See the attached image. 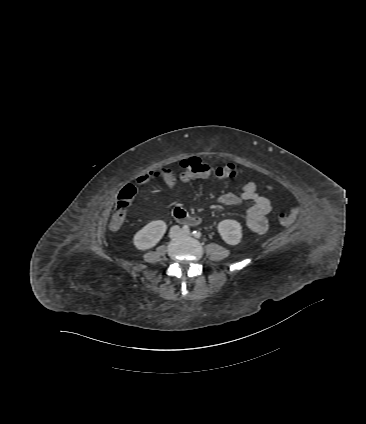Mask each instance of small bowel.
<instances>
[{"mask_svg":"<svg viewBox=\"0 0 366 424\" xmlns=\"http://www.w3.org/2000/svg\"><path fill=\"white\" fill-rule=\"evenodd\" d=\"M157 173H159V176H161L169 188L175 187L176 180L173 174L167 169L142 175L137 179V182L139 184H145L150 179L156 177ZM248 201L252 202V205L247 210V227L257 234H262L268 229L267 216L271 211V204L266 197L257 192L256 185L253 181L245 183L240 194L226 193L219 198V203L223 206H237Z\"/></svg>","mask_w":366,"mask_h":424,"instance_id":"1","label":"small bowel"}]
</instances>
